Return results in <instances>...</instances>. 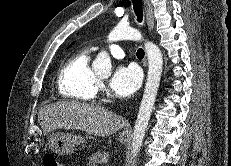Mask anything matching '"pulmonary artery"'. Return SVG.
<instances>
[{
	"mask_svg": "<svg viewBox=\"0 0 231 166\" xmlns=\"http://www.w3.org/2000/svg\"><path fill=\"white\" fill-rule=\"evenodd\" d=\"M102 47L107 48L115 58H123L125 56L124 50L116 43H111L108 45H98L93 47V50H99Z\"/></svg>",
	"mask_w": 231,
	"mask_h": 166,
	"instance_id": "pulmonary-artery-1",
	"label": "pulmonary artery"
}]
</instances>
